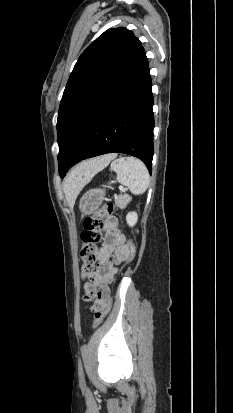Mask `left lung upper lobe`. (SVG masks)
<instances>
[{"instance_id": "5c2ea615", "label": "left lung upper lobe", "mask_w": 233, "mask_h": 413, "mask_svg": "<svg viewBox=\"0 0 233 413\" xmlns=\"http://www.w3.org/2000/svg\"><path fill=\"white\" fill-rule=\"evenodd\" d=\"M142 49L126 28H111L79 57L61 99L57 120L59 174L74 157L91 121Z\"/></svg>"}]
</instances>
